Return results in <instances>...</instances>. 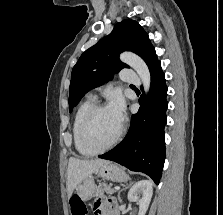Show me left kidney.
I'll return each instance as SVG.
<instances>
[{
    "mask_svg": "<svg viewBox=\"0 0 223 215\" xmlns=\"http://www.w3.org/2000/svg\"><path fill=\"white\" fill-rule=\"evenodd\" d=\"M138 193H142L141 199ZM152 193L153 187L149 179H141V181H136V183L130 187L127 197L129 201H137L139 205L138 215H145L151 201Z\"/></svg>",
    "mask_w": 223,
    "mask_h": 215,
    "instance_id": "1",
    "label": "left kidney"
}]
</instances>
